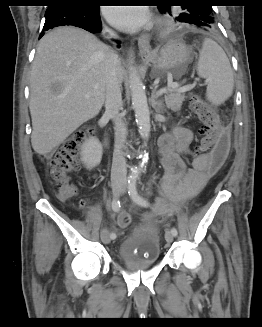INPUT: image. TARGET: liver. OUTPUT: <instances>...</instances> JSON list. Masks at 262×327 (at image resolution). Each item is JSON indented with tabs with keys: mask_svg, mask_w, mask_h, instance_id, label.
Segmentation results:
<instances>
[{
	"mask_svg": "<svg viewBox=\"0 0 262 327\" xmlns=\"http://www.w3.org/2000/svg\"><path fill=\"white\" fill-rule=\"evenodd\" d=\"M112 53L75 27L47 33L37 47L30 77L31 143L46 156L100 112L106 96V60ZM119 78L123 69L119 62Z\"/></svg>",
	"mask_w": 262,
	"mask_h": 327,
	"instance_id": "liver-1",
	"label": "liver"
}]
</instances>
